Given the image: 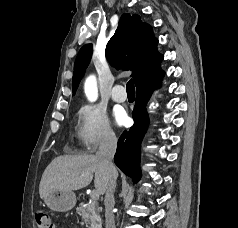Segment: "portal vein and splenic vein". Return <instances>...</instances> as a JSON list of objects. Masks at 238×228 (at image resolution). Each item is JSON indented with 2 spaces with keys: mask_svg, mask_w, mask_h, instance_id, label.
<instances>
[{
  "mask_svg": "<svg viewBox=\"0 0 238 228\" xmlns=\"http://www.w3.org/2000/svg\"><path fill=\"white\" fill-rule=\"evenodd\" d=\"M90 196L92 200H97L99 198V193L96 190H93Z\"/></svg>",
  "mask_w": 238,
  "mask_h": 228,
  "instance_id": "1",
  "label": "portal vein and splenic vein"
}]
</instances>
